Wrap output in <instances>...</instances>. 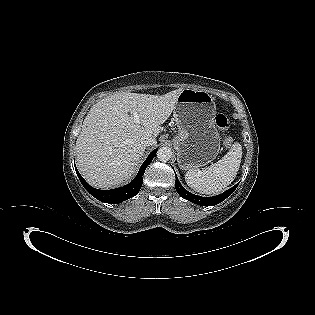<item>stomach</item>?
<instances>
[{
	"instance_id": "1",
	"label": "stomach",
	"mask_w": 315,
	"mask_h": 315,
	"mask_svg": "<svg viewBox=\"0 0 315 315\" xmlns=\"http://www.w3.org/2000/svg\"><path fill=\"white\" fill-rule=\"evenodd\" d=\"M214 97L204 90L183 89L173 116L178 134L173 139L177 162L183 170L211 163L220 151V134L215 125Z\"/></svg>"
}]
</instances>
